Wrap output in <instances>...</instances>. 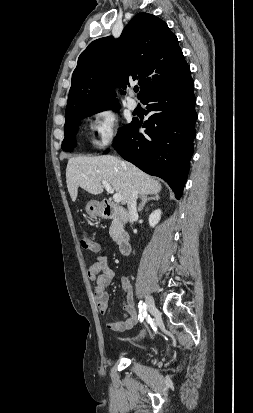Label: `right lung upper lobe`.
Wrapping results in <instances>:
<instances>
[{
	"mask_svg": "<svg viewBox=\"0 0 253 413\" xmlns=\"http://www.w3.org/2000/svg\"><path fill=\"white\" fill-rule=\"evenodd\" d=\"M189 68L177 37L161 19L136 15L119 39L103 37L89 44L72 75L65 120L89 110L119 107L114 88L138 80L141 100Z\"/></svg>",
	"mask_w": 253,
	"mask_h": 413,
	"instance_id": "right-lung-upper-lobe-1",
	"label": "right lung upper lobe"
}]
</instances>
